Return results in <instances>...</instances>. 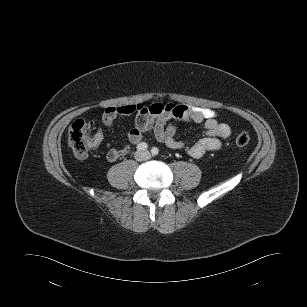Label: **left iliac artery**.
<instances>
[{
    "label": "left iliac artery",
    "mask_w": 307,
    "mask_h": 307,
    "mask_svg": "<svg viewBox=\"0 0 307 307\" xmlns=\"http://www.w3.org/2000/svg\"><path fill=\"white\" fill-rule=\"evenodd\" d=\"M151 153H152V155L156 156V155L159 154V149H158L157 147H153V148L151 149Z\"/></svg>",
    "instance_id": "obj_1"
}]
</instances>
